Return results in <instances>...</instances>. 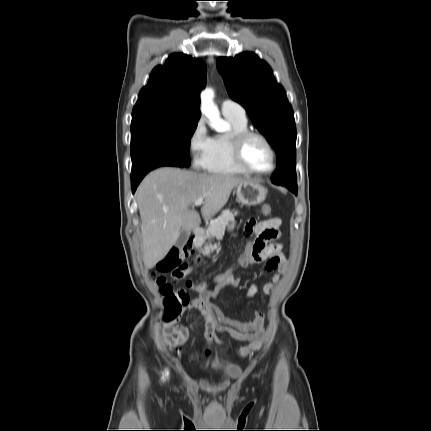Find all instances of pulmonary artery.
Segmentation results:
<instances>
[{"instance_id":"obj_1","label":"pulmonary artery","mask_w":431,"mask_h":431,"mask_svg":"<svg viewBox=\"0 0 431 431\" xmlns=\"http://www.w3.org/2000/svg\"><path fill=\"white\" fill-rule=\"evenodd\" d=\"M221 112L225 117H234L240 120H246L245 109L231 99H225L221 103Z\"/></svg>"}]
</instances>
